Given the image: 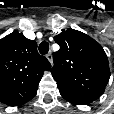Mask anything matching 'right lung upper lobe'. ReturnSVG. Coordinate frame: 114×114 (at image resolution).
I'll return each instance as SVG.
<instances>
[{
	"mask_svg": "<svg viewBox=\"0 0 114 114\" xmlns=\"http://www.w3.org/2000/svg\"><path fill=\"white\" fill-rule=\"evenodd\" d=\"M51 64L37 52V43L13 31L0 40V102L22 105L32 99Z\"/></svg>",
	"mask_w": 114,
	"mask_h": 114,
	"instance_id": "cb5924a9",
	"label": "right lung upper lobe"
}]
</instances>
